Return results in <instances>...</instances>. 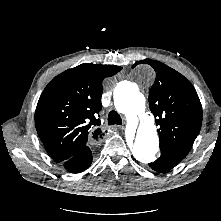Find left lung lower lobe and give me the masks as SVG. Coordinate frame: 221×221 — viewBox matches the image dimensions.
I'll return each instance as SVG.
<instances>
[{
    "instance_id": "1",
    "label": "left lung lower lobe",
    "mask_w": 221,
    "mask_h": 221,
    "mask_svg": "<svg viewBox=\"0 0 221 221\" xmlns=\"http://www.w3.org/2000/svg\"><path fill=\"white\" fill-rule=\"evenodd\" d=\"M187 154L173 149L161 148V156L149 163V166L157 172H165L178 165Z\"/></svg>"
}]
</instances>
